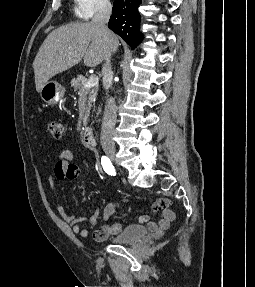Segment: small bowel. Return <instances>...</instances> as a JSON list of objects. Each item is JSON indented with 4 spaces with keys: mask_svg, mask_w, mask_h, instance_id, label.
Instances as JSON below:
<instances>
[{
    "mask_svg": "<svg viewBox=\"0 0 255 287\" xmlns=\"http://www.w3.org/2000/svg\"><path fill=\"white\" fill-rule=\"evenodd\" d=\"M72 154L65 150L60 153L59 160L55 164L54 173L48 179V185L52 192L55 189V180H74L79 177L80 169L78 166L71 163ZM128 202L127 199H117L108 203L103 212L99 209H95L89 218L78 216L65 209L62 205H57V210L63 219L69 223L72 231L81 237H87L89 231L81 224L88 222L95 224L102 216L105 224L93 231V236L96 240L103 241L107 237L117 234L123 227L121 223L110 222L115 210L125 205ZM171 202L167 198H161L156 200L152 208L155 212H160L162 217L158 220H151L148 214H143L139 217V222L147 224L148 229L156 235H162L169 229L171 223L175 220V213L170 209Z\"/></svg>",
    "mask_w": 255,
    "mask_h": 287,
    "instance_id": "c3829d8e",
    "label": "small bowel"
}]
</instances>
